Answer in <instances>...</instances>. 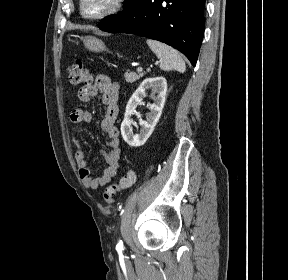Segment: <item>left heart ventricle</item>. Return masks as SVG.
Wrapping results in <instances>:
<instances>
[{"label":"left heart ventricle","instance_id":"left-heart-ventricle-1","mask_svg":"<svg viewBox=\"0 0 288 280\" xmlns=\"http://www.w3.org/2000/svg\"><path fill=\"white\" fill-rule=\"evenodd\" d=\"M110 0H87L85 11L89 14H95L105 9Z\"/></svg>","mask_w":288,"mask_h":280}]
</instances>
